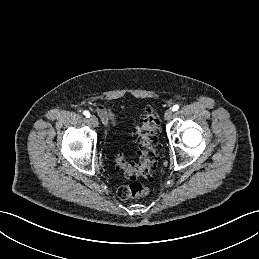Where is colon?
Returning <instances> with one entry per match:
<instances>
[{"label":"colon","instance_id":"obj_1","mask_svg":"<svg viewBox=\"0 0 259 259\" xmlns=\"http://www.w3.org/2000/svg\"><path fill=\"white\" fill-rule=\"evenodd\" d=\"M159 120L150 108L146 109L136 128L139 163H132L117 154L116 160L125 175L133 180L139 177L149 178L157 161L158 154L155 148ZM149 193V188L134 181L118 189L117 195L122 200L142 198Z\"/></svg>","mask_w":259,"mask_h":259}]
</instances>
